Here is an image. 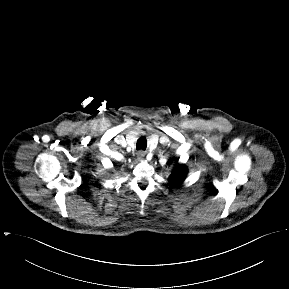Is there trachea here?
<instances>
[{"label":"trachea","mask_w":289,"mask_h":289,"mask_svg":"<svg viewBox=\"0 0 289 289\" xmlns=\"http://www.w3.org/2000/svg\"><path fill=\"white\" fill-rule=\"evenodd\" d=\"M147 147V140L145 137H140L137 140V145H136V149L137 150H145Z\"/></svg>","instance_id":"obj_1"}]
</instances>
